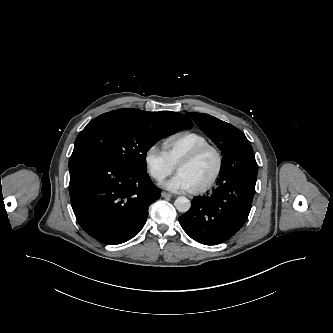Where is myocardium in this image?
Returning <instances> with one entry per match:
<instances>
[{
	"label": "myocardium",
	"instance_id": "obj_1",
	"mask_svg": "<svg viewBox=\"0 0 333 333\" xmlns=\"http://www.w3.org/2000/svg\"><path fill=\"white\" fill-rule=\"evenodd\" d=\"M207 152H213L215 154L216 161H217L216 168H215L213 175L206 183H204L200 187H197V188H194L191 190L193 193H196V194L206 192L218 180V178L222 172V169H223L222 153L220 152V150L217 147H215L211 144H207V145H203V146L196 148L195 150H193L192 152H190L189 154L184 156L177 164V170H179V168L181 166L190 164V163L196 161L197 159H199L202 155H204Z\"/></svg>",
	"mask_w": 333,
	"mask_h": 333
}]
</instances>
